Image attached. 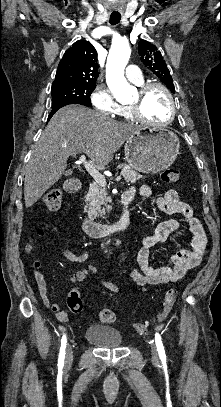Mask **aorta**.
<instances>
[{
	"instance_id": "1",
	"label": "aorta",
	"mask_w": 221,
	"mask_h": 407,
	"mask_svg": "<svg viewBox=\"0 0 221 407\" xmlns=\"http://www.w3.org/2000/svg\"><path fill=\"white\" fill-rule=\"evenodd\" d=\"M130 54L129 45L126 42H119L112 45L107 58V85L118 101L129 100L135 91V88L129 85L124 76Z\"/></svg>"
}]
</instances>
